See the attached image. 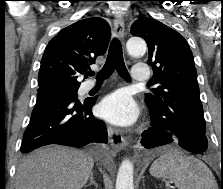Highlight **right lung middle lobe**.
<instances>
[{"label": "right lung middle lobe", "instance_id": "right-lung-middle-lobe-1", "mask_svg": "<svg viewBox=\"0 0 223 189\" xmlns=\"http://www.w3.org/2000/svg\"><path fill=\"white\" fill-rule=\"evenodd\" d=\"M78 89H57L48 93H77Z\"/></svg>", "mask_w": 223, "mask_h": 189}]
</instances>
